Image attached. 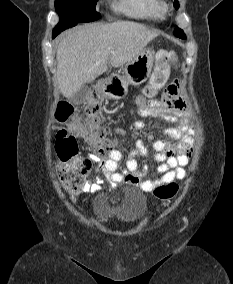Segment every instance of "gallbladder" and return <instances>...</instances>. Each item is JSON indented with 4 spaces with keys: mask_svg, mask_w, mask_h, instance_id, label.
<instances>
[{
    "mask_svg": "<svg viewBox=\"0 0 233 284\" xmlns=\"http://www.w3.org/2000/svg\"><path fill=\"white\" fill-rule=\"evenodd\" d=\"M89 94H90V87L87 84H84L76 92V94L71 98V102L74 105L82 104L87 100Z\"/></svg>",
    "mask_w": 233,
    "mask_h": 284,
    "instance_id": "1",
    "label": "gallbladder"
}]
</instances>
